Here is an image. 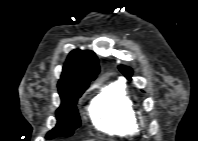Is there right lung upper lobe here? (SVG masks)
I'll return each instance as SVG.
<instances>
[{
  "mask_svg": "<svg viewBox=\"0 0 198 141\" xmlns=\"http://www.w3.org/2000/svg\"><path fill=\"white\" fill-rule=\"evenodd\" d=\"M99 72L98 59L92 51L73 50L63 67L58 87L89 84Z\"/></svg>",
  "mask_w": 198,
  "mask_h": 141,
  "instance_id": "right-lung-upper-lobe-1",
  "label": "right lung upper lobe"
}]
</instances>
